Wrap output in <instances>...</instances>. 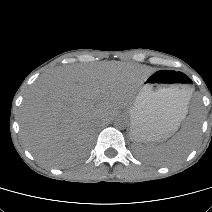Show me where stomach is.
Returning <instances> with one entry per match:
<instances>
[{
	"label": "stomach",
	"mask_w": 212,
	"mask_h": 212,
	"mask_svg": "<svg viewBox=\"0 0 212 212\" xmlns=\"http://www.w3.org/2000/svg\"><path fill=\"white\" fill-rule=\"evenodd\" d=\"M193 89L179 71L158 70L148 75L130 108V138L136 144L164 141L183 120Z\"/></svg>",
	"instance_id": "1"
}]
</instances>
